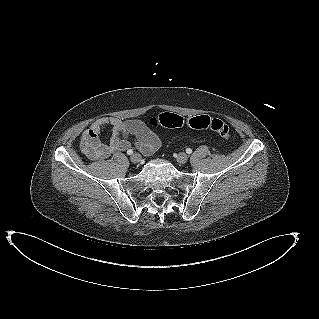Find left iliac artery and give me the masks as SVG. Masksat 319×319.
I'll use <instances>...</instances> for the list:
<instances>
[{
    "label": "left iliac artery",
    "instance_id": "obj_1",
    "mask_svg": "<svg viewBox=\"0 0 319 319\" xmlns=\"http://www.w3.org/2000/svg\"><path fill=\"white\" fill-rule=\"evenodd\" d=\"M186 153L191 154V153H192V149L187 148V149H186Z\"/></svg>",
    "mask_w": 319,
    "mask_h": 319
}]
</instances>
